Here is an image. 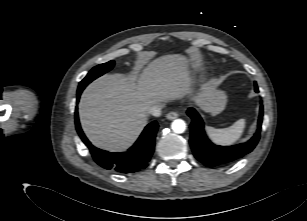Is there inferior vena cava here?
<instances>
[{"instance_id":"obj_1","label":"inferior vena cava","mask_w":307,"mask_h":221,"mask_svg":"<svg viewBox=\"0 0 307 221\" xmlns=\"http://www.w3.org/2000/svg\"><path fill=\"white\" fill-rule=\"evenodd\" d=\"M161 104L153 105L149 109V113L154 116V117H159L161 115V109H162Z\"/></svg>"}]
</instances>
